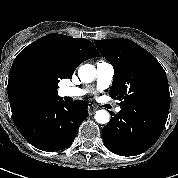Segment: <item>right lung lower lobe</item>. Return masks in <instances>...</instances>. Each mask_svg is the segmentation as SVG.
Listing matches in <instances>:
<instances>
[{"instance_id":"right-lung-lower-lobe-1","label":"right lung lower lobe","mask_w":178,"mask_h":178,"mask_svg":"<svg viewBox=\"0 0 178 178\" xmlns=\"http://www.w3.org/2000/svg\"><path fill=\"white\" fill-rule=\"evenodd\" d=\"M12 111L16 127L34 147L54 152L68 147L88 117L87 103H65L60 97L27 100Z\"/></svg>"}]
</instances>
